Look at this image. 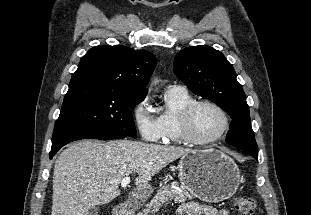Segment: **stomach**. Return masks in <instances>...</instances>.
I'll return each mask as SVG.
<instances>
[{
    "label": "stomach",
    "mask_w": 311,
    "mask_h": 215,
    "mask_svg": "<svg viewBox=\"0 0 311 215\" xmlns=\"http://www.w3.org/2000/svg\"><path fill=\"white\" fill-rule=\"evenodd\" d=\"M178 170L182 187L210 203L232 197L240 182V172L233 159L212 148L191 151L182 156ZM152 191V187L147 185L137 191V197L147 199Z\"/></svg>",
    "instance_id": "1"
}]
</instances>
